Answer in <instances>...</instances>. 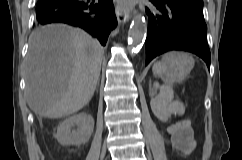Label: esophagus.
Here are the masks:
<instances>
[{"instance_id":"34e87169","label":"esophagus","mask_w":242,"mask_h":160,"mask_svg":"<svg viewBox=\"0 0 242 160\" xmlns=\"http://www.w3.org/2000/svg\"><path fill=\"white\" fill-rule=\"evenodd\" d=\"M116 17H117V21L119 23H125V22L129 21V19L131 18L130 14L128 12L123 11L119 7H117V9H116Z\"/></svg>"}]
</instances>
